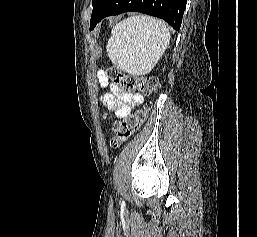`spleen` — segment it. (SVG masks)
<instances>
[{"label": "spleen", "mask_w": 257, "mask_h": 237, "mask_svg": "<svg viewBox=\"0 0 257 237\" xmlns=\"http://www.w3.org/2000/svg\"><path fill=\"white\" fill-rule=\"evenodd\" d=\"M170 41L167 25L155 18L138 15L119 22L107 43L110 60L132 75L149 73Z\"/></svg>", "instance_id": "obj_1"}]
</instances>
